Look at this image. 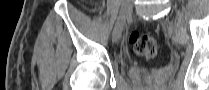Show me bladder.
Listing matches in <instances>:
<instances>
[{
	"instance_id": "1",
	"label": "bladder",
	"mask_w": 209,
	"mask_h": 90,
	"mask_svg": "<svg viewBox=\"0 0 209 90\" xmlns=\"http://www.w3.org/2000/svg\"><path fill=\"white\" fill-rule=\"evenodd\" d=\"M143 81L146 82V84L144 85L145 87H155V85L153 84V77L146 76L143 78Z\"/></svg>"
}]
</instances>
